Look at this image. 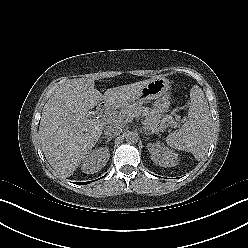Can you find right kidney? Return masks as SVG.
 <instances>
[{"mask_svg": "<svg viewBox=\"0 0 248 248\" xmlns=\"http://www.w3.org/2000/svg\"><path fill=\"white\" fill-rule=\"evenodd\" d=\"M109 157L110 153L107 147L95 149L84 157L81 169L86 174H94L106 165Z\"/></svg>", "mask_w": 248, "mask_h": 248, "instance_id": "obj_1", "label": "right kidney"}]
</instances>
